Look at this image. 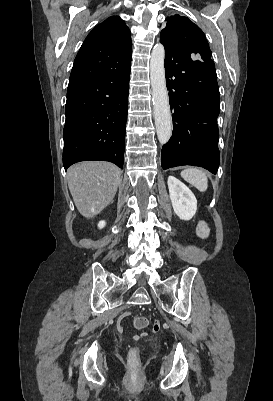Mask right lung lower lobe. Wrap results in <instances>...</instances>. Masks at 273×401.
<instances>
[{"mask_svg": "<svg viewBox=\"0 0 273 401\" xmlns=\"http://www.w3.org/2000/svg\"><path fill=\"white\" fill-rule=\"evenodd\" d=\"M131 60L67 91L63 131L65 170L84 161H110L123 168Z\"/></svg>", "mask_w": 273, "mask_h": 401, "instance_id": "1", "label": "right lung lower lobe"}]
</instances>
